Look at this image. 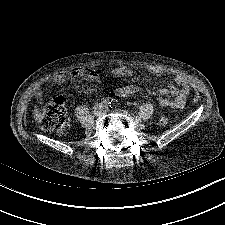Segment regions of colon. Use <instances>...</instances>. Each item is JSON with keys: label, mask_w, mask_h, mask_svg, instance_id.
I'll return each instance as SVG.
<instances>
[{"label": "colon", "mask_w": 225, "mask_h": 225, "mask_svg": "<svg viewBox=\"0 0 225 225\" xmlns=\"http://www.w3.org/2000/svg\"><path fill=\"white\" fill-rule=\"evenodd\" d=\"M38 120L41 128L49 132H57L65 135L69 129L68 113L62 99H55L47 104L38 114ZM169 119L163 116L159 124L165 126Z\"/></svg>", "instance_id": "1"}]
</instances>
